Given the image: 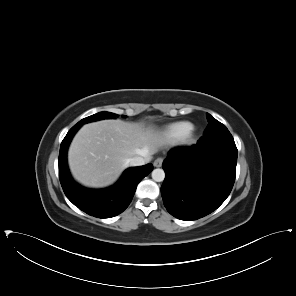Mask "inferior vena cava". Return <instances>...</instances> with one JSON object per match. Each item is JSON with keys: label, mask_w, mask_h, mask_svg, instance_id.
I'll list each match as a JSON object with an SVG mask.
<instances>
[{"label": "inferior vena cava", "mask_w": 296, "mask_h": 296, "mask_svg": "<svg viewBox=\"0 0 296 296\" xmlns=\"http://www.w3.org/2000/svg\"><path fill=\"white\" fill-rule=\"evenodd\" d=\"M147 163L146 158L141 156H135L130 160V166H141Z\"/></svg>", "instance_id": "obj_1"}]
</instances>
